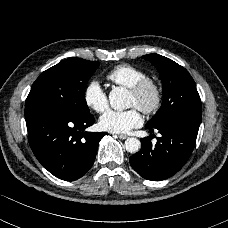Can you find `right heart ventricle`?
I'll return each instance as SVG.
<instances>
[{
  "instance_id": "1",
  "label": "right heart ventricle",
  "mask_w": 228,
  "mask_h": 228,
  "mask_svg": "<svg viewBox=\"0 0 228 228\" xmlns=\"http://www.w3.org/2000/svg\"><path fill=\"white\" fill-rule=\"evenodd\" d=\"M113 84L130 89L139 81L147 78V74L129 64H120L112 68L106 75Z\"/></svg>"
}]
</instances>
